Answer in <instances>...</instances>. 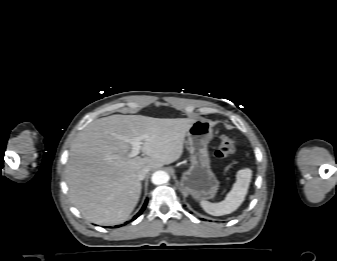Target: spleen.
Wrapping results in <instances>:
<instances>
[{
  "label": "spleen",
  "instance_id": "3e777b00",
  "mask_svg": "<svg viewBox=\"0 0 337 261\" xmlns=\"http://www.w3.org/2000/svg\"><path fill=\"white\" fill-rule=\"evenodd\" d=\"M252 171L249 168L241 169L236 174V182L226 198L219 203H210L202 200V208L213 216H222L234 212L245 200L250 182Z\"/></svg>",
  "mask_w": 337,
  "mask_h": 261
}]
</instances>
